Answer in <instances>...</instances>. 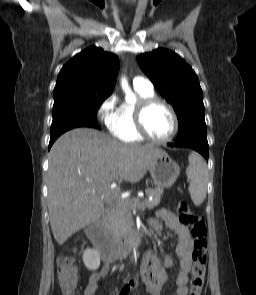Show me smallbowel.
Masks as SVG:
<instances>
[{
	"mask_svg": "<svg viewBox=\"0 0 256 295\" xmlns=\"http://www.w3.org/2000/svg\"><path fill=\"white\" fill-rule=\"evenodd\" d=\"M162 223L170 228L179 239L176 253L180 258V271L176 278V295H188V275L192 267L191 255L194 248V239L189 229L167 209L159 210L156 218L151 219L149 225L155 231H160L163 227ZM173 266L174 260L172 257L166 256L162 264L156 252L152 250L146 251L142 261L141 278L128 281L119 289L117 295H129L132 290L140 286H144L151 295H161L170 282L167 269ZM109 269L110 264L105 263L101 270L91 274L84 295H94L99 288V282L106 280Z\"/></svg>",
	"mask_w": 256,
	"mask_h": 295,
	"instance_id": "c3829d8e",
	"label": "small bowel"
}]
</instances>
